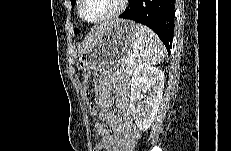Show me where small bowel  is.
<instances>
[{
  "instance_id": "1",
  "label": "small bowel",
  "mask_w": 231,
  "mask_h": 151,
  "mask_svg": "<svg viewBox=\"0 0 231 151\" xmlns=\"http://www.w3.org/2000/svg\"><path fill=\"white\" fill-rule=\"evenodd\" d=\"M130 82L129 79L118 70H110L103 73L99 81V118L101 122L96 124L99 141L108 151H133L136 140L140 137V131L133 120L130 106ZM115 103L116 112L110 108ZM110 125L113 134L107 128Z\"/></svg>"
}]
</instances>
